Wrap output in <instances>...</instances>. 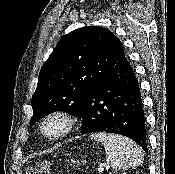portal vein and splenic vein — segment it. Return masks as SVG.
Segmentation results:
<instances>
[{
  "label": "portal vein and splenic vein",
  "mask_w": 175,
  "mask_h": 174,
  "mask_svg": "<svg viewBox=\"0 0 175 174\" xmlns=\"http://www.w3.org/2000/svg\"><path fill=\"white\" fill-rule=\"evenodd\" d=\"M104 171V168L102 166L98 167V172L102 173Z\"/></svg>",
  "instance_id": "obj_1"
}]
</instances>
